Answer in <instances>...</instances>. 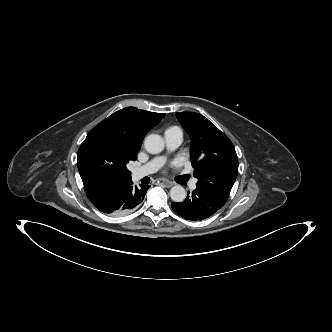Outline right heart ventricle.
<instances>
[{
    "instance_id": "1",
    "label": "right heart ventricle",
    "mask_w": 332,
    "mask_h": 332,
    "mask_svg": "<svg viewBox=\"0 0 332 332\" xmlns=\"http://www.w3.org/2000/svg\"><path fill=\"white\" fill-rule=\"evenodd\" d=\"M174 130H179V128L176 127V126L170 127V128H168V129L165 131V133H166V132H169V131H174Z\"/></svg>"
}]
</instances>
